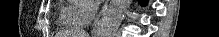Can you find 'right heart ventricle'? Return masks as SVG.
<instances>
[{"instance_id": "1", "label": "right heart ventricle", "mask_w": 219, "mask_h": 37, "mask_svg": "<svg viewBox=\"0 0 219 37\" xmlns=\"http://www.w3.org/2000/svg\"><path fill=\"white\" fill-rule=\"evenodd\" d=\"M78 8L74 6H63L60 10L59 24L63 27H79L82 23L77 19Z\"/></svg>"}]
</instances>
